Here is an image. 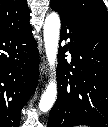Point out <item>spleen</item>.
<instances>
[{
    "label": "spleen",
    "instance_id": "spleen-1",
    "mask_svg": "<svg viewBox=\"0 0 108 127\" xmlns=\"http://www.w3.org/2000/svg\"><path fill=\"white\" fill-rule=\"evenodd\" d=\"M78 127H86V126H78Z\"/></svg>",
    "mask_w": 108,
    "mask_h": 127
}]
</instances>
